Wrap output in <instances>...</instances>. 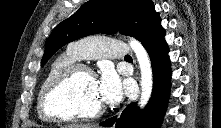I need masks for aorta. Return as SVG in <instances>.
<instances>
[{
	"instance_id": "aorta-1",
	"label": "aorta",
	"mask_w": 221,
	"mask_h": 128,
	"mask_svg": "<svg viewBox=\"0 0 221 128\" xmlns=\"http://www.w3.org/2000/svg\"><path fill=\"white\" fill-rule=\"evenodd\" d=\"M129 45L135 53L140 68L141 98L139 101V106L141 109H143L151 97L153 88V74L151 62L147 51L138 40L130 38Z\"/></svg>"
}]
</instances>
